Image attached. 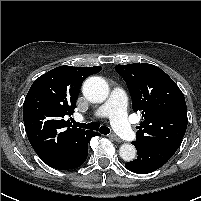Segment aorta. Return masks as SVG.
<instances>
[{
	"label": "aorta",
	"mask_w": 201,
	"mask_h": 201,
	"mask_svg": "<svg viewBox=\"0 0 201 201\" xmlns=\"http://www.w3.org/2000/svg\"><path fill=\"white\" fill-rule=\"evenodd\" d=\"M82 92L90 102L101 103L109 95V86L103 78L94 76L84 82ZM119 154L124 161H132L136 157V148L132 144H122L119 148Z\"/></svg>",
	"instance_id": "aorta-1"
}]
</instances>
